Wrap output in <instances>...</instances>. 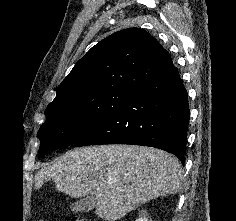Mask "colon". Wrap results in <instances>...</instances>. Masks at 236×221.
<instances>
[{"label":"colon","instance_id":"5ec220e1","mask_svg":"<svg viewBox=\"0 0 236 221\" xmlns=\"http://www.w3.org/2000/svg\"><path fill=\"white\" fill-rule=\"evenodd\" d=\"M39 221H43V220H39ZM69 221H90V220H87L86 218L81 217V216H73L70 218Z\"/></svg>","mask_w":236,"mask_h":221}]
</instances>
